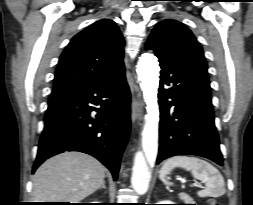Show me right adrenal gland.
I'll return each instance as SVG.
<instances>
[{
    "mask_svg": "<svg viewBox=\"0 0 253 205\" xmlns=\"http://www.w3.org/2000/svg\"><path fill=\"white\" fill-rule=\"evenodd\" d=\"M106 189V186H105V181H103V183H102V185L100 186V188L99 189Z\"/></svg>",
    "mask_w": 253,
    "mask_h": 205,
    "instance_id": "obj_1",
    "label": "right adrenal gland"
}]
</instances>
